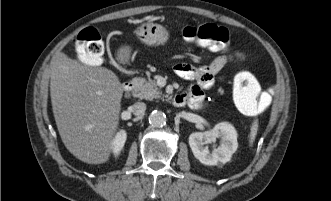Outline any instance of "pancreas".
<instances>
[{"label": "pancreas", "instance_id": "1", "mask_svg": "<svg viewBox=\"0 0 331 201\" xmlns=\"http://www.w3.org/2000/svg\"><path fill=\"white\" fill-rule=\"evenodd\" d=\"M134 96L140 99L153 100L161 97V90L157 87L155 80L146 81L145 78L135 77Z\"/></svg>", "mask_w": 331, "mask_h": 201}]
</instances>
